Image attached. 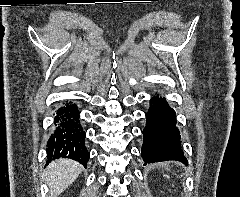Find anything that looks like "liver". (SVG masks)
<instances>
[{
	"instance_id": "1",
	"label": "liver",
	"mask_w": 240,
	"mask_h": 197,
	"mask_svg": "<svg viewBox=\"0 0 240 197\" xmlns=\"http://www.w3.org/2000/svg\"><path fill=\"white\" fill-rule=\"evenodd\" d=\"M82 166L71 159H57L52 161L44 176L50 187L51 197H56L66 190L79 176Z\"/></svg>"
}]
</instances>
